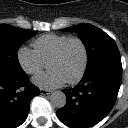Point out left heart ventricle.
I'll use <instances>...</instances> for the list:
<instances>
[{
  "label": "left heart ventricle",
  "instance_id": "1",
  "mask_svg": "<svg viewBox=\"0 0 128 128\" xmlns=\"http://www.w3.org/2000/svg\"><path fill=\"white\" fill-rule=\"evenodd\" d=\"M83 64V51L79 43H71L63 58L57 61H50L48 68L58 71L66 81L74 78L81 70Z\"/></svg>",
  "mask_w": 128,
  "mask_h": 128
}]
</instances>
